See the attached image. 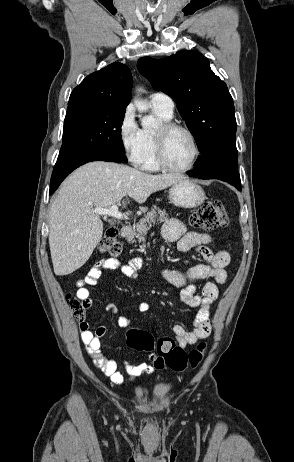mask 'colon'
Returning <instances> with one entry per match:
<instances>
[{
    "instance_id": "5ec220e1",
    "label": "colon",
    "mask_w": 294,
    "mask_h": 462,
    "mask_svg": "<svg viewBox=\"0 0 294 462\" xmlns=\"http://www.w3.org/2000/svg\"><path fill=\"white\" fill-rule=\"evenodd\" d=\"M228 224V216L223 204L219 200L205 202L191 217V226L195 230L210 231L217 227H224ZM118 230L116 227L107 229L98 249L101 253L116 256L121 252V244L117 239ZM67 302L78 321L85 317V307L78 298L68 296ZM128 345L138 351L150 353L153 365L158 368H170L175 371H184L188 368H195L202 360L205 344L201 343L189 352L178 347L171 338L164 337L157 341L145 331L131 329L127 334Z\"/></svg>"
}]
</instances>
